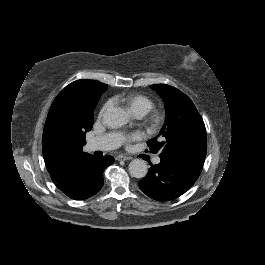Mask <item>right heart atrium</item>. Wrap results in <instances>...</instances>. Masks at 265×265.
<instances>
[{
    "mask_svg": "<svg viewBox=\"0 0 265 265\" xmlns=\"http://www.w3.org/2000/svg\"><path fill=\"white\" fill-rule=\"evenodd\" d=\"M112 106L113 103L111 101L105 102L100 109L99 117H103Z\"/></svg>",
    "mask_w": 265,
    "mask_h": 265,
    "instance_id": "obj_1",
    "label": "right heart atrium"
}]
</instances>
